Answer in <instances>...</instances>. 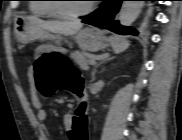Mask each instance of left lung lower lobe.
<instances>
[{"label": "left lung lower lobe", "instance_id": "0a47b994", "mask_svg": "<svg viewBox=\"0 0 182 140\" xmlns=\"http://www.w3.org/2000/svg\"><path fill=\"white\" fill-rule=\"evenodd\" d=\"M120 4L121 0H103L101 7L92 13L90 18L84 19L82 22L99 28H107L119 34H137L134 29L122 27L118 21L113 20Z\"/></svg>", "mask_w": 182, "mask_h": 140}]
</instances>
